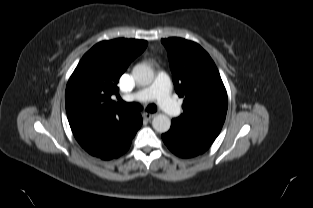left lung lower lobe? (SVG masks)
Returning a JSON list of instances; mask_svg holds the SVG:
<instances>
[{
    "instance_id": "1",
    "label": "left lung lower lobe",
    "mask_w": 313,
    "mask_h": 208,
    "mask_svg": "<svg viewBox=\"0 0 313 208\" xmlns=\"http://www.w3.org/2000/svg\"><path fill=\"white\" fill-rule=\"evenodd\" d=\"M162 139L174 154L182 158H190L204 153L216 137L190 133L171 122L170 130L162 134Z\"/></svg>"
}]
</instances>
